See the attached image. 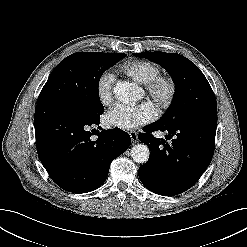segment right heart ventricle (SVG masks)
<instances>
[{
  "instance_id": "right-heart-ventricle-1",
  "label": "right heart ventricle",
  "mask_w": 247,
  "mask_h": 247,
  "mask_svg": "<svg viewBox=\"0 0 247 247\" xmlns=\"http://www.w3.org/2000/svg\"><path fill=\"white\" fill-rule=\"evenodd\" d=\"M121 71L140 84H146L161 74L159 65L146 60L127 62L122 66Z\"/></svg>"
}]
</instances>
